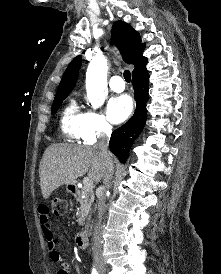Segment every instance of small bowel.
I'll return each mask as SVG.
<instances>
[{"label":"small bowel","instance_id":"c3829d8e","mask_svg":"<svg viewBox=\"0 0 221 274\" xmlns=\"http://www.w3.org/2000/svg\"><path fill=\"white\" fill-rule=\"evenodd\" d=\"M38 214L41 230L46 240L51 260L60 264V268L58 269L57 274H70L68 260L59 251L55 243L53 223L49 207L47 205H40L38 207Z\"/></svg>","mask_w":221,"mask_h":274}]
</instances>
